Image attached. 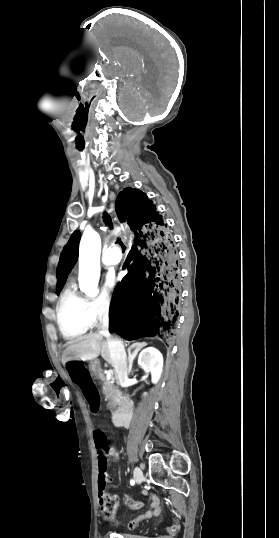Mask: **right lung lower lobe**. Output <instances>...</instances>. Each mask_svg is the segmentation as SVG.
I'll list each match as a JSON object with an SVG mask.
<instances>
[{
    "label": "right lung lower lobe",
    "instance_id": "obj_1",
    "mask_svg": "<svg viewBox=\"0 0 279 538\" xmlns=\"http://www.w3.org/2000/svg\"><path fill=\"white\" fill-rule=\"evenodd\" d=\"M116 213L133 246L123 266L128 274L113 293L109 323L128 338L169 333L179 316L182 293L173 236L140 190L124 188L116 200Z\"/></svg>",
    "mask_w": 279,
    "mask_h": 538
}]
</instances>
